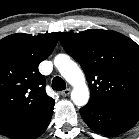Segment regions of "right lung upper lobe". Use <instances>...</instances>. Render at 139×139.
<instances>
[{
    "label": "right lung upper lobe",
    "mask_w": 139,
    "mask_h": 139,
    "mask_svg": "<svg viewBox=\"0 0 139 139\" xmlns=\"http://www.w3.org/2000/svg\"><path fill=\"white\" fill-rule=\"evenodd\" d=\"M56 33H17L0 40V133L28 123L54 105L38 65L53 51Z\"/></svg>",
    "instance_id": "1"
}]
</instances>
